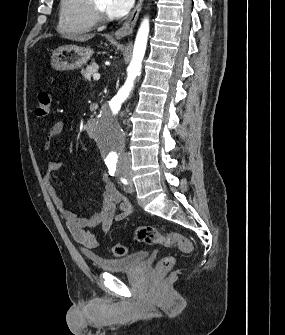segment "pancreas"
<instances>
[{
    "label": "pancreas",
    "instance_id": "obj_1",
    "mask_svg": "<svg viewBox=\"0 0 285 335\" xmlns=\"http://www.w3.org/2000/svg\"><path fill=\"white\" fill-rule=\"evenodd\" d=\"M98 68H99L98 64H94V62H92L91 66H87V68H84V70L80 72V77L86 78L85 82L87 84H90L92 82L91 78L93 74H97Z\"/></svg>",
    "mask_w": 285,
    "mask_h": 335
}]
</instances>
